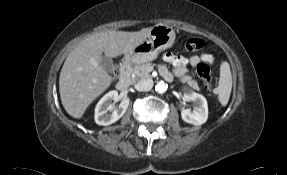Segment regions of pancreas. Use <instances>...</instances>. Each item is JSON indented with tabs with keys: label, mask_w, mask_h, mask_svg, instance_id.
<instances>
[{
	"label": "pancreas",
	"mask_w": 287,
	"mask_h": 175,
	"mask_svg": "<svg viewBox=\"0 0 287 175\" xmlns=\"http://www.w3.org/2000/svg\"><path fill=\"white\" fill-rule=\"evenodd\" d=\"M151 63H145V64H140L136 65L134 68L131 70V76L133 80H139V79H147L150 78L149 74V67H151ZM180 81L182 83H187L190 87H192L195 90H200L198 83L196 80H194L190 75H185L183 76Z\"/></svg>",
	"instance_id": "cf45deb5"
}]
</instances>
